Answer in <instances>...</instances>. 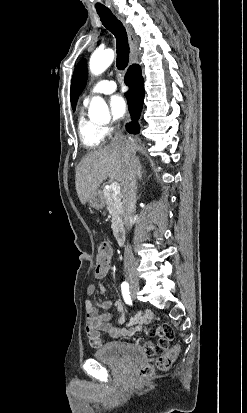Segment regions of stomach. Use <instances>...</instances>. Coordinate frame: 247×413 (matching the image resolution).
<instances>
[{
  "label": "stomach",
  "instance_id": "obj_1",
  "mask_svg": "<svg viewBox=\"0 0 247 413\" xmlns=\"http://www.w3.org/2000/svg\"><path fill=\"white\" fill-rule=\"evenodd\" d=\"M87 202H89V207H92V209H103L106 204V198L101 190H95V192L90 194Z\"/></svg>",
  "mask_w": 247,
  "mask_h": 413
}]
</instances>
